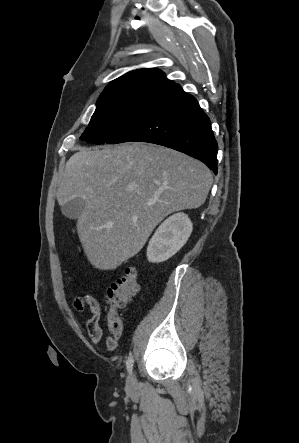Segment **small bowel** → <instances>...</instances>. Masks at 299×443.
<instances>
[{
  "instance_id": "obj_1",
  "label": "small bowel",
  "mask_w": 299,
  "mask_h": 443,
  "mask_svg": "<svg viewBox=\"0 0 299 443\" xmlns=\"http://www.w3.org/2000/svg\"><path fill=\"white\" fill-rule=\"evenodd\" d=\"M84 305H88L91 311V317L87 320L86 327L90 340L94 344H98L103 337V330L99 324L101 315V306L98 300L93 296H88L87 298L76 301V306L82 308ZM106 343L109 349H114L116 347V338L108 337Z\"/></svg>"
}]
</instances>
